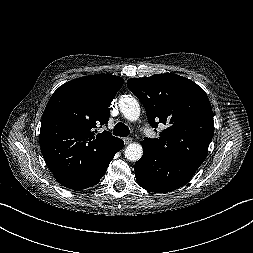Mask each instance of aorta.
I'll return each mask as SVG.
<instances>
[{"label":"aorta","instance_id":"aorta-1","mask_svg":"<svg viewBox=\"0 0 253 253\" xmlns=\"http://www.w3.org/2000/svg\"><path fill=\"white\" fill-rule=\"evenodd\" d=\"M119 108L123 116L129 121H136L140 116V105L138 101L130 96L124 95L119 99ZM143 148L139 143H131L125 149V157L129 161H137L142 157Z\"/></svg>","mask_w":253,"mask_h":253}]
</instances>
